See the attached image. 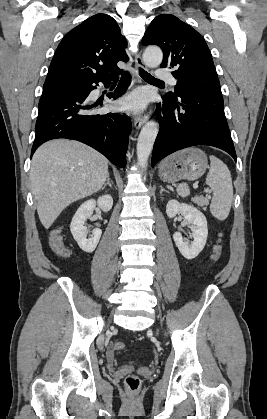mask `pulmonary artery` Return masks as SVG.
I'll list each match as a JSON object with an SVG mask.
<instances>
[{"label":"pulmonary artery","instance_id":"e3ab8cb5","mask_svg":"<svg viewBox=\"0 0 267 419\" xmlns=\"http://www.w3.org/2000/svg\"><path fill=\"white\" fill-rule=\"evenodd\" d=\"M156 78L167 81L170 85L176 86V79L167 71L158 70L156 72Z\"/></svg>","mask_w":267,"mask_h":419}]
</instances>
